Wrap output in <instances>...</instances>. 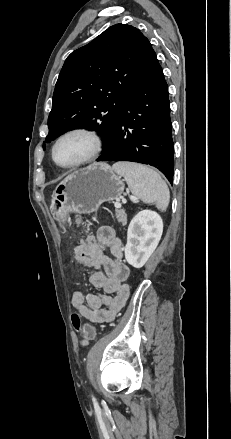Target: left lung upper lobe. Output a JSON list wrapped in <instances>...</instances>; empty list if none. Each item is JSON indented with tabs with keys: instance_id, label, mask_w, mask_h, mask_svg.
Segmentation results:
<instances>
[{
	"instance_id": "left-lung-upper-lobe-1",
	"label": "left lung upper lobe",
	"mask_w": 231,
	"mask_h": 439,
	"mask_svg": "<svg viewBox=\"0 0 231 439\" xmlns=\"http://www.w3.org/2000/svg\"><path fill=\"white\" fill-rule=\"evenodd\" d=\"M153 49L135 27L116 24L89 44L73 51L57 80L49 134L45 143L63 133L86 128L96 130L105 146L121 107L137 82Z\"/></svg>"
}]
</instances>
